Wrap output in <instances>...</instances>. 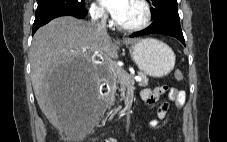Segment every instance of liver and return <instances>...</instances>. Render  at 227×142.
Masks as SVG:
<instances>
[{
  "mask_svg": "<svg viewBox=\"0 0 227 142\" xmlns=\"http://www.w3.org/2000/svg\"><path fill=\"white\" fill-rule=\"evenodd\" d=\"M139 39L126 38L123 44ZM121 42L98 32L90 22L71 16L59 17L39 28L30 47L31 80L37 103L49 122L69 135L82 116V102L97 94L107 76V65L118 57ZM99 57L101 62H95ZM61 61H90L84 88H55L50 73Z\"/></svg>",
  "mask_w": 227,
  "mask_h": 142,
  "instance_id": "obj_1",
  "label": "liver"
}]
</instances>
